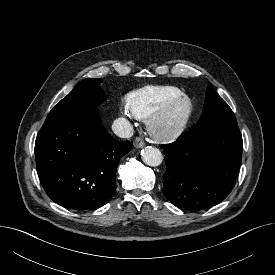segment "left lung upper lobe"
Listing matches in <instances>:
<instances>
[{"label": "left lung upper lobe", "instance_id": "5c2ea615", "mask_svg": "<svg viewBox=\"0 0 275 275\" xmlns=\"http://www.w3.org/2000/svg\"><path fill=\"white\" fill-rule=\"evenodd\" d=\"M197 126L207 132H239L235 115L228 104L217 94L212 84L206 90L203 113Z\"/></svg>", "mask_w": 275, "mask_h": 275}]
</instances>
